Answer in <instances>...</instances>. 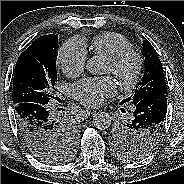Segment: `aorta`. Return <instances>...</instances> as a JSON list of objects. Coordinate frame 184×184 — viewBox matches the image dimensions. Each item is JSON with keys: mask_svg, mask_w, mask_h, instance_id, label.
<instances>
[{"mask_svg": "<svg viewBox=\"0 0 184 184\" xmlns=\"http://www.w3.org/2000/svg\"><path fill=\"white\" fill-rule=\"evenodd\" d=\"M86 69L93 75H101L103 73L102 64L94 58H91L86 63ZM112 117L107 112H97L93 115L92 123L95 128L105 130L110 127Z\"/></svg>", "mask_w": 184, "mask_h": 184, "instance_id": "762f6f07", "label": "aorta"}]
</instances>
